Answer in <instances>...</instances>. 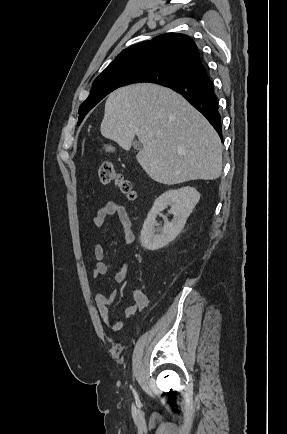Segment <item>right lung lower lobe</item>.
<instances>
[{
	"mask_svg": "<svg viewBox=\"0 0 287 434\" xmlns=\"http://www.w3.org/2000/svg\"><path fill=\"white\" fill-rule=\"evenodd\" d=\"M180 93L200 111L218 132L222 140L221 117L213 83L203 64L186 71L176 82L167 85Z\"/></svg>",
	"mask_w": 287,
	"mask_h": 434,
	"instance_id": "98d812e1",
	"label": "right lung lower lobe"
}]
</instances>
